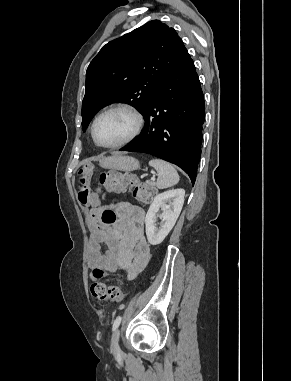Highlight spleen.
<instances>
[{
  "instance_id": "obj_1",
  "label": "spleen",
  "mask_w": 291,
  "mask_h": 381,
  "mask_svg": "<svg viewBox=\"0 0 291 381\" xmlns=\"http://www.w3.org/2000/svg\"><path fill=\"white\" fill-rule=\"evenodd\" d=\"M149 165L154 167L158 173L156 186L159 189L172 187L179 182V175L170 163L161 159H152L149 161Z\"/></svg>"
}]
</instances>
